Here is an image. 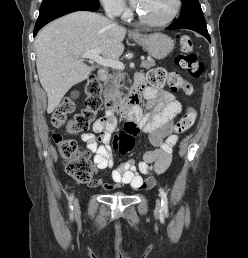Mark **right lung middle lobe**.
Listing matches in <instances>:
<instances>
[{
  "label": "right lung middle lobe",
  "instance_id": "obj_1",
  "mask_svg": "<svg viewBox=\"0 0 248 258\" xmlns=\"http://www.w3.org/2000/svg\"><path fill=\"white\" fill-rule=\"evenodd\" d=\"M79 1H85V0H43L40 7V12H43L45 10L51 9L56 6L66 5V4L75 3ZM90 1H98V0H90Z\"/></svg>",
  "mask_w": 248,
  "mask_h": 258
}]
</instances>
